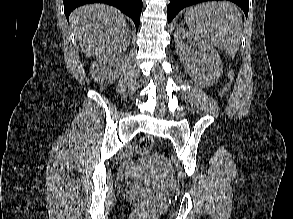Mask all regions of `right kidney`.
<instances>
[{
    "label": "right kidney",
    "mask_w": 293,
    "mask_h": 219,
    "mask_svg": "<svg viewBox=\"0 0 293 219\" xmlns=\"http://www.w3.org/2000/svg\"><path fill=\"white\" fill-rule=\"evenodd\" d=\"M124 63L123 55L99 57L90 67V73L99 84H111L121 74ZM107 66V67H106ZM113 67V70L110 68Z\"/></svg>",
    "instance_id": "right-kidney-1"
}]
</instances>
